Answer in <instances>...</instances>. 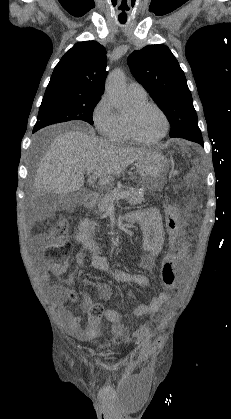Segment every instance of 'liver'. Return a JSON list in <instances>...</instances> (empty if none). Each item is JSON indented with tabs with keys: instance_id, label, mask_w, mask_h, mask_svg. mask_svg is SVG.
I'll return each mask as SVG.
<instances>
[{
	"instance_id": "liver-1",
	"label": "liver",
	"mask_w": 231,
	"mask_h": 419,
	"mask_svg": "<svg viewBox=\"0 0 231 419\" xmlns=\"http://www.w3.org/2000/svg\"><path fill=\"white\" fill-rule=\"evenodd\" d=\"M146 149L122 148L95 137L88 131L69 130L54 138L40 161L34 180L36 194L53 191L66 195L84 185V172L91 169L88 183H109Z\"/></svg>"
}]
</instances>
